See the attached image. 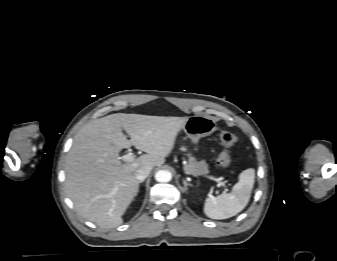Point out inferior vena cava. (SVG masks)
Instances as JSON below:
<instances>
[{
	"label": "inferior vena cava",
	"instance_id": "602c4592",
	"mask_svg": "<svg viewBox=\"0 0 337 261\" xmlns=\"http://www.w3.org/2000/svg\"><path fill=\"white\" fill-rule=\"evenodd\" d=\"M151 169L152 167L150 166L139 168L136 171V179L138 181H144L149 176Z\"/></svg>",
	"mask_w": 337,
	"mask_h": 261
}]
</instances>
